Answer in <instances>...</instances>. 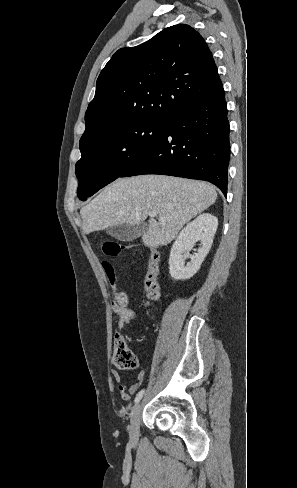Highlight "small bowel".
I'll return each instance as SVG.
<instances>
[{"label": "small bowel", "instance_id": "c3829d8e", "mask_svg": "<svg viewBox=\"0 0 297 488\" xmlns=\"http://www.w3.org/2000/svg\"><path fill=\"white\" fill-rule=\"evenodd\" d=\"M136 318V314L132 311H127L125 314L122 315L120 319V324H126L131 320H134ZM112 377L115 381V383L118 386V389L121 393V397L124 401H129L131 398V395L135 394L138 389H139V382H141L145 378V371L141 370L139 371L137 375V382L126 385L122 381L121 374L117 370H112L111 372Z\"/></svg>", "mask_w": 297, "mask_h": 488}]
</instances>
